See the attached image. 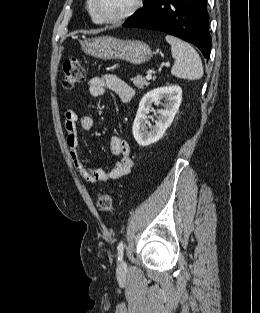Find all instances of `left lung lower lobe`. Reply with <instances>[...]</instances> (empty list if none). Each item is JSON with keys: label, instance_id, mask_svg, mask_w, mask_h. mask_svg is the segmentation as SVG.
<instances>
[{"label": "left lung lower lobe", "instance_id": "obj_1", "mask_svg": "<svg viewBox=\"0 0 260 313\" xmlns=\"http://www.w3.org/2000/svg\"><path fill=\"white\" fill-rule=\"evenodd\" d=\"M207 0H150L123 26L169 33L197 46L209 58Z\"/></svg>", "mask_w": 260, "mask_h": 313}]
</instances>
